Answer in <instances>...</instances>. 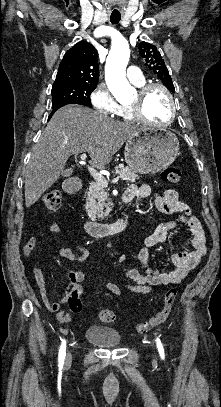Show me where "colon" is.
<instances>
[{
	"instance_id": "obj_1",
	"label": "colon",
	"mask_w": 221,
	"mask_h": 407,
	"mask_svg": "<svg viewBox=\"0 0 221 407\" xmlns=\"http://www.w3.org/2000/svg\"><path fill=\"white\" fill-rule=\"evenodd\" d=\"M182 171L177 165H170L166 167L161 174V178L166 183L177 184L180 182ZM44 204L50 211H58L61 206V192L59 190H49L44 195ZM72 295L71 301L68 303L73 312H80L82 303L80 299V287L78 284H73L70 287ZM177 297V290L169 288L166 290L163 300V307L148 321L138 323L136 325V332L139 334H146L151 328L162 324L169 317L173 304ZM101 321L109 323L115 320V313L110 309H101L98 313Z\"/></svg>"
}]
</instances>
